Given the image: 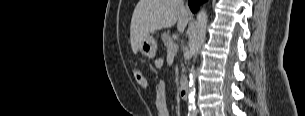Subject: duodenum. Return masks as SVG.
I'll list each match as a JSON object with an SVG mask.
<instances>
[{"label":"duodenum","mask_w":305,"mask_h":116,"mask_svg":"<svg viewBox=\"0 0 305 116\" xmlns=\"http://www.w3.org/2000/svg\"><path fill=\"white\" fill-rule=\"evenodd\" d=\"M179 96L183 101L187 100L188 97V85L185 81L180 84Z\"/></svg>","instance_id":"duodenum-1"}]
</instances>
